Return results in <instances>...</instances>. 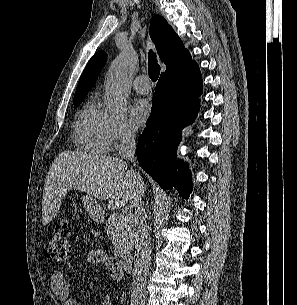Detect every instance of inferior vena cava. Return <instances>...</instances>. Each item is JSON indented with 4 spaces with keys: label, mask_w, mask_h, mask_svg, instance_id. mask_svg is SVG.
Masks as SVG:
<instances>
[{
    "label": "inferior vena cava",
    "mask_w": 297,
    "mask_h": 305,
    "mask_svg": "<svg viewBox=\"0 0 297 305\" xmlns=\"http://www.w3.org/2000/svg\"><path fill=\"white\" fill-rule=\"evenodd\" d=\"M122 147V158L132 161L136 150V135L134 130L125 128L122 131ZM137 175L140 177L138 173ZM133 206L135 207L134 223L136 227V244L131 302L143 305L146 291V277L149 272L151 260V247L142 195L136 197Z\"/></svg>",
    "instance_id": "obj_1"
}]
</instances>
